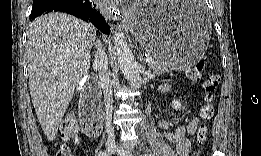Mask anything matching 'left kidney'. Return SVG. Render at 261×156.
<instances>
[{
	"instance_id": "obj_1",
	"label": "left kidney",
	"mask_w": 261,
	"mask_h": 156,
	"mask_svg": "<svg viewBox=\"0 0 261 156\" xmlns=\"http://www.w3.org/2000/svg\"><path fill=\"white\" fill-rule=\"evenodd\" d=\"M172 107L175 108L176 110H180L182 105H181V102L177 99H173L172 100Z\"/></svg>"
}]
</instances>
